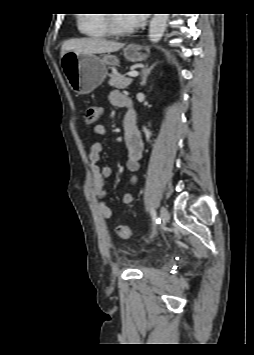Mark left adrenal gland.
<instances>
[{
	"mask_svg": "<svg viewBox=\"0 0 254 355\" xmlns=\"http://www.w3.org/2000/svg\"><path fill=\"white\" fill-rule=\"evenodd\" d=\"M156 64L157 63H154L150 67H148V64H146L145 67L142 69L141 82H140L141 87L146 85L147 77L150 74V72L152 71V69L156 66Z\"/></svg>",
	"mask_w": 254,
	"mask_h": 355,
	"instance_id": "a2214340",
	"label": "left adrenal gland"
}]
</instances>
